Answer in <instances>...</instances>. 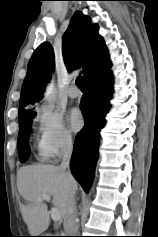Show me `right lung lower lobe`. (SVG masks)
<instances>
[{"label":"right lung lower lobe","mask_w":158,"mask_h":237,"mask_svg":"<svg viewBox=\"0 0 158 237\" xmlns=\"http://www.w3.org/2000/svg\"><path fill=\"white\" fill-rule=\"evenodd\" d=\"M112 74L106 69L86 82L87 92L81 99L84 127L78 133L71 158V170L75 179L88 192L98 156L99 133L110 108Z\"/></svg>","instance_id":"right-lung-lower-lobe-1"}]
</instances>
